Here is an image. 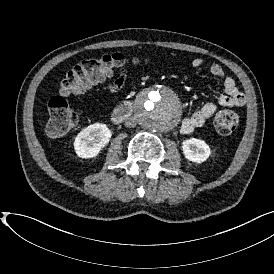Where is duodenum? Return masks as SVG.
I'll return each mask as SVG.
<instances>
[{"mask_svg": "<svg viewBox=\"0 0 274 274\" xmlns=\"http://www.w3.org/2000/svg\"><path fill=\"white\" fill-rule=\"evenodd\" d=\"M133 113V101L126 100L115 108L112 119L116 123H120L127 119Z\"/></svg>", "mask_w": 274, "mask_h": 274, "instance_id": "1", "label": "duodenum"}]
</instances>
